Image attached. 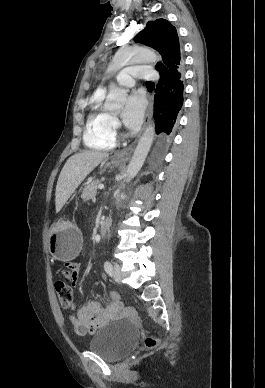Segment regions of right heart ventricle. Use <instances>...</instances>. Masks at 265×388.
<instances>
[{
	"label": "right heart ventricle",
	"instance_id": "e07e8e85",
	"mask_svg": "<svg viewBox=\"0 0 265 388\" xmlns=\"http://www.w3.org/2000/svg\"><path fill=\"white\" fill-rule=\"evenodd\" d=\"M107 97V91H96L92 98L84 140L94 149L109 150L116 144V136L111 127L112 115L103 104Z\"/></svg>",
	"mask_w": 265,
	"mask_h": 388
}]
</instances>
